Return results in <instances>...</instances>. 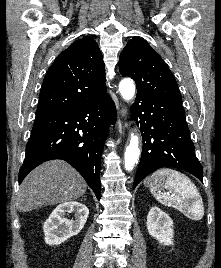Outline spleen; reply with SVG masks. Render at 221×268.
Returning <instances> with one entry per match:
<instances>
[{
  "mask_svg": "<svg viewBox=\"0 0 221 268\" xmlns=\"http://www.w3.org/2000/svg\"><path fill=\"white\" fill-rule=\"evenodd\" d=\"M158 178L166 182L165 186L171 195L169 192H160ZM150 191L159 203L173 207L193 220H200L204 215L203 201L197 187L188 176L179 171L170 168L156 171L152 175Z\"/></svg>",
  "mask_w": 221,
  "mask_h": 268,
  "instance_id": "obj_1",
  "label": "spleen"
}]
</instances>
